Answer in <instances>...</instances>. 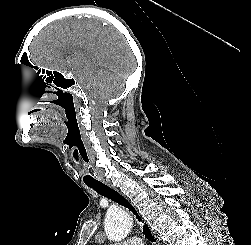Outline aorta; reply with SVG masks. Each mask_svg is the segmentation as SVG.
<instances>
[{"label": "aorta", "mask_w": 251, "mask_h": 245, "mask_svg": "<svg viewBox=\"0 0 251 245\" xmlns=\"http://www.w3.org/2000/svg\"><path fill=\"white\" fill-rule=\"evenodd\" d=\"M132 226V218L121 209L110 210L106 215L105 232L111 241L119 242L126 238Z\"/></svg>", "instance_id": "obj_1"}]
</instances>
